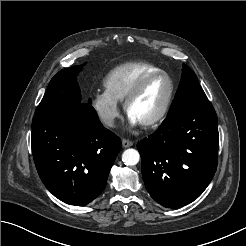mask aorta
I'll use <instances>...</instances> for the list:
<instances>
[{
	"mask_svg": "<svg viewBox=\"0 0 246 246\" xmlns=\"http://www.w3.org/2000/svg\"><path fill=\"white\" fill-rule=\"evenodd\" d=\"M140 155L135 149H127L122 154V161L127 166H134L139 162Z\"/></svg>",
	"mask_w": 246,
	"mask_h": 246,
	"instance_id": "1",
	"label": "aorta"
}]
</instances>
